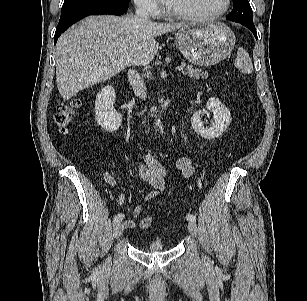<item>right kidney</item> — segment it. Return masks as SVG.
<instances>
[{
    "label": "right kidney",
    "instance_id": "obj_1",
    "mask_svg": "<svg viewBox=\"0 0 307 301\" xmlns=\"http://www.w3.org/2000/svg\"><path fill=\"white\" fill-rule=\"evenodd\" d=\"M116 93L112 86H105L96 96L95 120L107 132L118 130L122 123V116L113 108Z\"/></svg>",
    "mask_w": 307,
    "mask_h": 301
}]
</instances>
